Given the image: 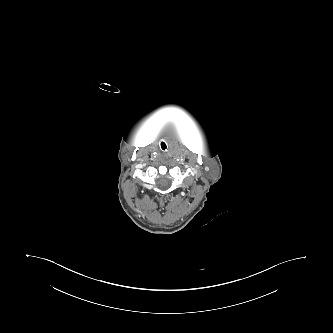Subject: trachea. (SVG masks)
Returning <instances> with one entry per match:
<instances>
[{
	"label": "trachea",
	"mask_w": 333,
	"mask_h": 333,
	"mask_svg": "<svg viewBox=\"0 0 333 333\" xmlns=\"http://www.w3.org/2000/svg\"><path fill=\"white\" fill-rule=\"evenodd\" d=\"M163 145H165V147L163 148V147H162V145H161V147H162V149H163V150H165V148H166V144H165V143H163Z\"/></svg>",
	"instance_id": "3493384b"
}]
</instances>
